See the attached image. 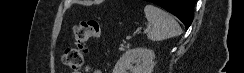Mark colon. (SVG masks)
Listing matches in <instances>:
<instances>
[{
    "mask_svg": "<svg viewBox=\"0 0 244 73\" xmlns=\"http://www.w3.org/2000/svg\"><path fill=\"white\" fill-rule=\"evenodd\" d=\"M73 32L74 44L64 50L62 61L71 70L78 72L83 66L88 42L101 35V25L96 20H84L74 27Z\"/></svg>",
    "mask_w": 244,
    "mask_h": 73,
    "instance_id": "colon-1",
    "label": "colon"
}]
</instances>
